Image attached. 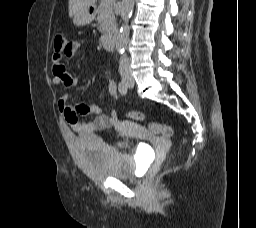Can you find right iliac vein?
Segmentation results:
<instances>
[{
    "mask_svg": "<svg viewBox=\"0 0 256 228\" xmlns=\"http://www.w3.org/2000/svg\"><path fill=\"white\" fill-rule=\"evenodd\" d=\"M124 80H125V81H128V78L125 77Z\"/></svg>",
    "mask_w": 256,
    "mask_h": 228,
    "instance_id": "right-iliac-vein-1",
    "label": "right iliac vein"
}]
</instances>
